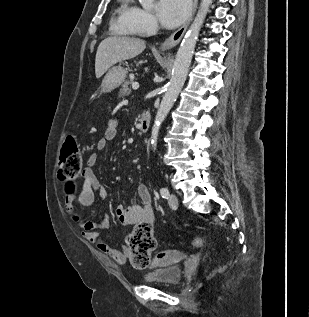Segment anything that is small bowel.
<instances>
[{"mask_svg": "<svg viewBox=\"0 0 309 317\" xmlns=\"http://www.w3.org/2000/svg\"><path fill=\"white\" fill-rule=\"evenodd\" d=\"M117 136V124L110 121L106 127L104 137L96 144L98 151H104L107 143ZM98 162V155L92 153L88 156L86 167L81 172L83 184L78 192L73 185H68L65 193V210L70 218L80 227L84 239L95 245L102 253L113 258L117 263L123 264L131 257V251L124 246L116 249L108 245L99 230L107 229L110 225L109 217L104 215L100 221H85L78 211V207H89L93 204L97 194H104V187L96 177L94 167ZM140 203L124 206H115V214L122 224L148 223L153 221L152 197L146 186L140 185L137 188Z\"/></svg>", "mask_w": 309, "mask_h": 317, "instance_id": "small-bowel-1", "label": "small bowel"}]
</instances>
